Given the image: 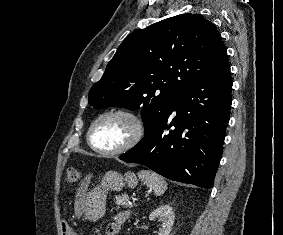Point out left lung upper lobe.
Instances as JSON below:
<instances>
[{"instance_id": "obj_1", "label": "left lung upper lobe", "mask_w": 283, "mask_h": 235, "mask_svg": "<svg viewBox=\"0 0 283 235\" xmlns=\"http://www.w3.org/2000/svg\"><path fill=\"white\" fill-rule=\"evenodd\" d=\"M227 61L210 21L199 14L177 15L131 33L91 88L88 102L96 109L141 108L147 133L189 83Z\"/></svg>"}]
</instances>
